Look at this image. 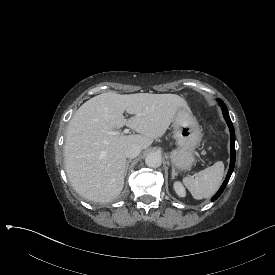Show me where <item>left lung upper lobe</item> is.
<instances>
[{"instance_id":"5c2ea615","label":"left lung upper lobe","mask_w":275,"mask_h":275,"mask_svg":"<svg viewBox=\"0 0 275 275\" xmlns=\"http://www.w3.org/2000/svg\"><path fill=\"white\" fill-rule=\"evenodd\" d=\"M217 101L221 104V108H222V110L227 109V108H226V106H225V104L223 103V101H222V100L217 99Z\"/></svg>"}]
</instances>
